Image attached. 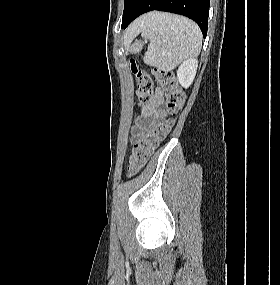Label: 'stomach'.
I'll list each match as a JSON object with an SVG mask.
<instances>
[{
    "label": "stomach",
    "instance_id": "0dacf381",
    "mask_svg": "<svg viewBox=\"0 0 280 285\" xmlns=\"http://www.w3.org/2000/svg\"><path fill=\"white\" fill-rule=\"evenodd\" d=\"M143 45H144V43L142 41L136 40L134 43H132V45L130 47V52L133 54L140 52Z\"/></svg>",
    "mask_w": 280,
    "mask_h": 285
}]
</instances>
